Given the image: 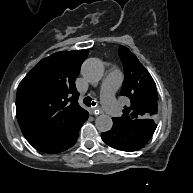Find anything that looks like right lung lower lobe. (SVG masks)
I'll list each match as a JSON object with an SVG mask.
<instances>
[{
  "mask_svg": "<svg viewBox=\"0 0 193 193\" xmlns=\"http://www.w3.org/2000/svg\"><path fill=\"white\" fill-rule=\"evenodd\" d=\"M77 137H78V134L76 135V137H74L66 146H64L63 148L57 150V151H54V152H51V153H58V152H62L68 148H70L77 140Z\"/></svg>",
  "mask_w": 193,
  "mask_h": 193,
  "instance_id": "1",
  "label": "right lung lower lobe"
}]
</instances>
